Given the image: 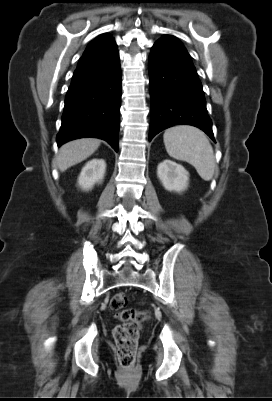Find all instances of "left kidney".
Masks as SVG:
<instances>
[{
  "label": "left kidney",
  "mask_w": 272,
  "mask_h": 401,
  "mask_svg": "<svg viewBox=\"0 0 272 401\" xmlns=\"http://www.w3.org/2000/svg\"><path fill=\"white\" fill-rule=\"evenodd\" d=\"M157 176L168 191L180 193L188 187L189 173L171 160L166 159L158 165Z\"/></svg>",
  "instance_id": "left-kidney-1"
}]
</instances>
